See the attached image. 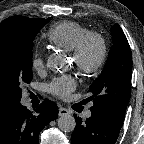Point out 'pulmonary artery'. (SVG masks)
<instances>
[{
	"label": "pulmonary artery",
	"instance_id": "e3ab8cb5",
	"mask_svg": "<svg viewBox=\"0 0 144 144\" xmlns=\"http://www.w3.org/2000/svg\"><path fill=\"white\" fill-rule=\"evenodd\" d=\"M91 115H92V113H91L90 110L86 111L85 114H84V116H85L86 118L91 117Z\"/></svg>",
	"mask_w": 144,
	"mask_h": 144
}]
</instances>
